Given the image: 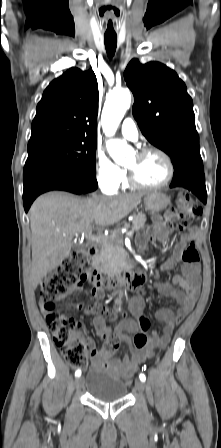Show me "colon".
Returning a JSON list of instances; mask_svg holds the SVG:
<instances>
[{
    "instance_id": "5ec220e1",
    "label": "colon",
    "mask_w": 221,
    "mask_h": 448,
    "mask_svg": "<svg viewBox=\"0 0 221 448\" xmlns=\"http://www.w3.org/2000/svg\"><path fill=\"white\" fill-rule=\"evenodd\" d=\"M180 222L186 226L199 215V208L189 194L181 192L178 195ZM182 259L189 264L199 262V253L195 244H189L182 252ZM97 273L89 267V252L78 249L71 252L54 270L46 274L39 287V300L47 323L52 331L56 347L62 353L66 362L80 371L88 366L87 350L92 347V341L84 336L80 321L58 313L55 301L64 298L74 289L87 282L95 281ZM141 331L134 337V346L143 348L147 341L149 321L143 317L140 320ZM127 384L131 381L127 380Z\"/></svg>"
}]
</instances>
